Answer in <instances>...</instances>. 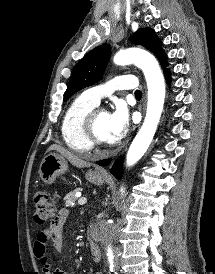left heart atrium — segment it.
Instances as JSON below:
<instances>
[{
  "label": "left heart atrium",
  "mask_w": 215,
  "mask_h": 274,
  "mask_svg": "<svg viewBox=\"0 0 215 274\" xmlns=\"http://www.w3.org/2000/svg\"><path fill=\"white\" fill-rule=\"evenodd\" d=\"M129 126V115L123 104L116 105L108 117V141L116 142L124 137Z\"/></svg>",
  "instance_id": "39dd6f15"
}]
</instances>
